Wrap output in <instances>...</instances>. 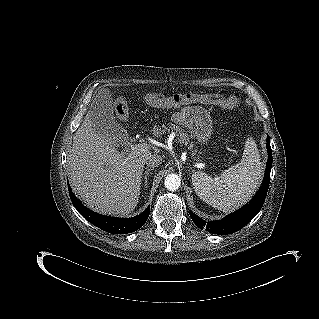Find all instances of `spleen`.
Instances as JSON below:
<instances>
[{
    "label": "spleen",
    "instance_id": "spleen-1",
    "mask_svg": "<svg viewBox=\"0 0 319 319\" xmlns=\"http://www.w3.org/2000/svg\"><path fill=\"white\" fill-rule=\"evenodd\" d=\"M262 176L260 154L250 137L245 142L242 159L212 178L202 171L194 172L192 184L197 196L208 205L231 212L245 204L256 190Z\"/></svg>",
    "mask_w": 319,
    "mask_h": 319
}]
</instances>
